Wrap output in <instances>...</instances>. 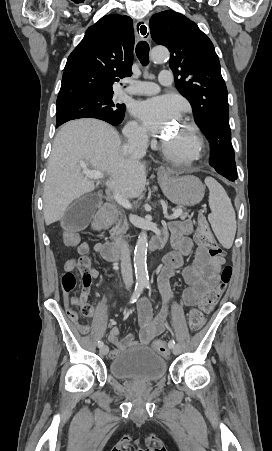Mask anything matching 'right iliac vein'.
<instances>
[{
    "mask_svg": "<svg viewBox=\"0 0 272 451\" xmlns=\"http://www.w3.org/2000/svg\"><path fill=\"white\" fill-rule=\"evenodd\" d=\"M108 346L104 345L100 348V354L101 355H106L108 353Z\"/></svg>",
    "mask_w": 272,
    "mask_h": 451,
    "instance_id": "1",
    "label": "right iliac vein"
}]
</instances>
